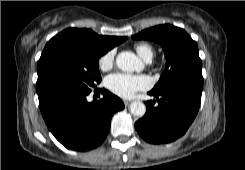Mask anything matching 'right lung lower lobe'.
<instances>
[{
    "label": "right lung lower lobe",
    "instance_id": "obj_1",
    "mask_svg": "<svg viewBox=\"0 0 245 170\" xmlns=\"http://www.w3.org/2000/svg\"><path fill=\"white\" fill-rule=\"evenodd\" d=\"M103 98L88 102L82 94H64L40 105L45 123L66 148L88 151L98 147L110 130L113 114L124 109L120 98L105 89H97Z\"/></svg>",
    "mask_w": 245,
    "mask_h": 170
}]
</instances>
